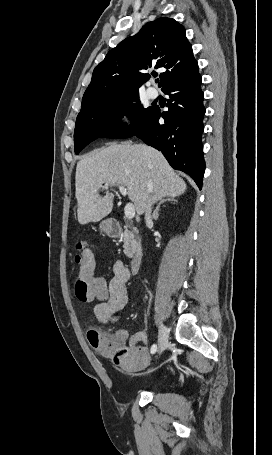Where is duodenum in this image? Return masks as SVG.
I'll use <instances>...</instances> for the list:
<instances>
[{
    "label": "duodenum",
    "instance_id": "1",
    "mask_svg": "<svg viewBox=\"0 0 272 455\" xmlns=\"http://www.w3.org/2000/svg\"><path fill=\"white\" fill-rule=\"evenodd\" d=\"M122 233V226L118 222H111L108 225V234L112 237H118ZM142 251L136 249L130 258V269L133 274H137L142 263Z\"/></svg>",
    "mask_w": 272,
    "mask_h": 455
}]
</instances>
